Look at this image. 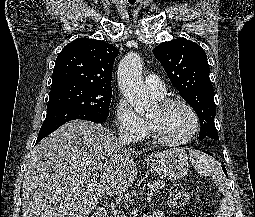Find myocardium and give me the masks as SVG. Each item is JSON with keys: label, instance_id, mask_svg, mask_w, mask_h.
<instances>
[{"label": "myocardium", "instance_id": "1", "mask_svg": "<svg viewBox=\"0 0 255 217\" xmlns=\"http://www.w3.org/2000/svg\"><path fill=\"white\" fill-rule=\"evenodd\" d=\"M174 104L183 105L189 111V113L191 114L192 119H193V127H192L191 132L185 138L178 139V140H170V139H166V138H163L162 136H160L154 129L151 122L148 120L149 131H150L152 138L156 142H158L162 145H166V146H180V145L189 143L190 141H192L194 139V137L196 136V134L198 133L199 128H200L199 115H198L197 111L195 110V108L193 107V105L190 102H188L187 100L180 98V97L165 98V99H162L158 105L161 108H167Z\"/></svg>", "mask_w": 255, "mask_h": 217}]
</instances>
